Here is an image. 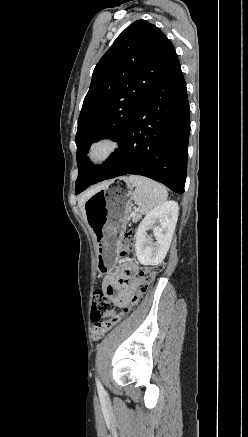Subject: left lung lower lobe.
Wrapping results in <instances>:
<instances>
[{"instance_id":"obj_1","label":"left lung lower lobe","mask_w":248,"mask_h":437,"mask_svg":"<svg viewBox=\"0 0 248 437\" xmlns=\"http://www.w3.org/2000/svg\"><path fill=\"white\" fill-rule=\"evenodd\" d=\"M189 132L186 83L177 59L134 113L118 152L92 184L137 174L183 193Z\"/></svg>"}]
</instances>
